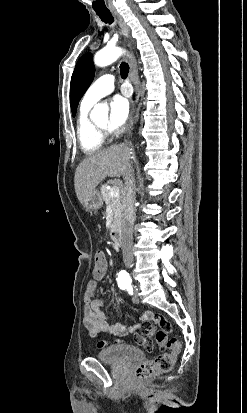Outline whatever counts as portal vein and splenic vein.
I'll return each mask as SVG.
<instances>
[{
	"label": "portal vein and splenic vein",
	"instance_id": "obj_1",
	"mask_svg": "<svg viewBox=\"0 0 247 413\" xmlns=\"http://www.w3.org/2000/svg\"><path fill=\"white\" fill-rule=\"evenodd\" d=\"M110 196H119L120 188L119 186H112V188H108Z\"/></svg>",
	"mask_w": 247,
	"mask_h": 413
}]
</instances>
